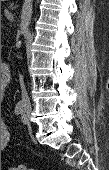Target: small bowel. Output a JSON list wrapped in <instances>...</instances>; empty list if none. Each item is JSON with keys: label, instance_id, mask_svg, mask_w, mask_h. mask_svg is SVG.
I'll return each instance as SVG.
<instances>
[{"label": "small bowel", "instance_id": "small-bowel-1", "mask_svg": "<svg viewBox=\"0 0 109 170\" xmlns=\"http://www.w3.org/2000/svg\"><path fill=\"white\" fill-rule=\"evenodd\" d=\"M10 135L5 124H1V148H5L9 142Z\"/></svg>", "mask_w": 109, "mask_h": 170}]
</instances>
